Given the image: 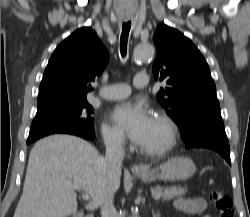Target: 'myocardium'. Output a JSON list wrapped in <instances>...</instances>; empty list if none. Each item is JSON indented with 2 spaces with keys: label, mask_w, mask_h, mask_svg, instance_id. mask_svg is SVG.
<instances>
[{
  "label": "myocardium",
  "mask_w": 250,
  "mask_h": 217,
  "mask_svg": "<svg viewBox=\"0 0 250 217\" xmlns=\"http://www.w3.org/2000/svg\"><path fill=\"white\" fill-rule=\"evenodd\" d=\"M155 117L163 124L166 129V141L157 148H144L141 147V151L148 156H162L171 151L176 142L178 136V128L174 120L164 112L158 111Z\"/></svg>",
  "instance_id": "myocardium-1"
}]
</instances>
